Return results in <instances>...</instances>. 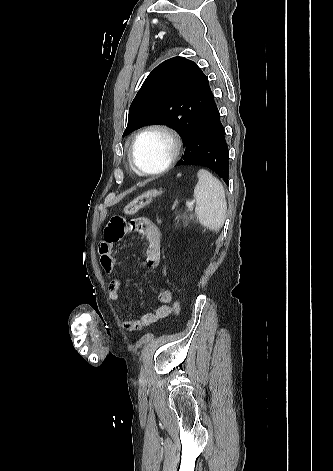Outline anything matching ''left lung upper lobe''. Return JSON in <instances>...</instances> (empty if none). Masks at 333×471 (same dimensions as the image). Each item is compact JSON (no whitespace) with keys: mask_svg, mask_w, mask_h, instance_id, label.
<instances>
[{"mask_svg":"<svg viewBox=\"0 0 333 471\" xmlns=\"http://www.w3.org/2000/svg\"><path fill=\"white\" fill-rule=\"evenodd\" d=\"M211 95L208 78L193 61L166 60L151 71L131 103L123 136L162 123L176 129L186 145Z\"/></svg>","mask_w":333,"mask_h":471,"instance_id":"obj_1","label":"left lung upper lobe"}]
</instances>
